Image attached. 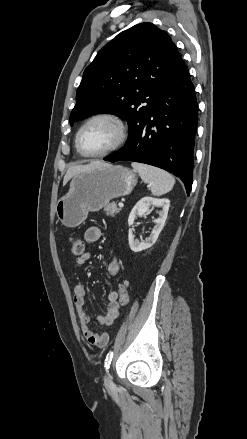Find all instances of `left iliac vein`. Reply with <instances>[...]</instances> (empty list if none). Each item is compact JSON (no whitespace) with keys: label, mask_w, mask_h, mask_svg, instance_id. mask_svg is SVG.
I'll list each match as a JSON object with an SVG mask.
<instances>
[{"label":"left iliac vein","mask_w":247,"mask_h":439,"mask_svg":"<svg viewBox=\"0 0 247 439\" xmlns=\"http://www.w3.org/2000/svg\"><path fill=\"white\" fill-rule=\"evenodd\" d=\"M104 384H105L106 388H111L113 386V381H112L109 373H106V375L104 377Z\"/></svg>","instance_id":"obj_1"}]
</instances>
